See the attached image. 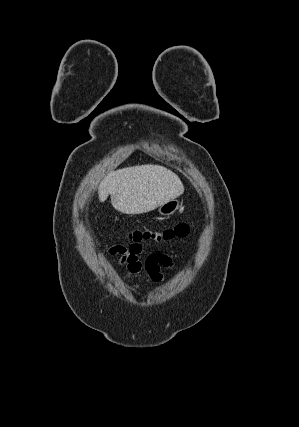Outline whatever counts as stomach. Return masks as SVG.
<instances>
[{"label": "stomach", "mask_w": 299, "mask_h": 427, "mask_svg": "<svg viewBox=\"0 0 299 427\" xmlns=\"http://www.w3.org/2000/svg\"><path fill=\"white\" fill-rule=\"evenodd\" d=\"M181 203L177 199H172L158 207L159 214L163 216H171L180 208Z\"/></svg>", "instance_id": "0dacf381"}]
</instances>
